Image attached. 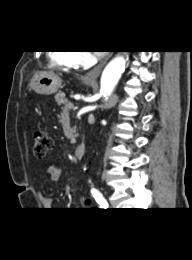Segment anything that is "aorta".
Here are the masks:
<instances>
[{"label":"aorta","mask_w":192,"mask_h":260,"mask_svg":"<svg viewBox=\"0 0 192 260\" xmlns=\"http://www.w3.org/2000/svg\"><path fill=\"white\" fill-rule=\"evenodd\" d=\"M125 65L126 59L124 56L120 55L112 59L103 70L101 76L100 93L105 97V99H108L117 85L122 73L125 70Z\"/></svg>","instance_id":"obj_1"}]
</instances>
